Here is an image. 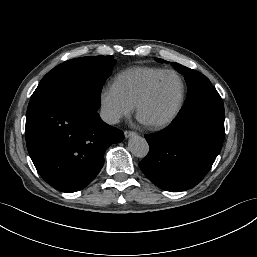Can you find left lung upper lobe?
Returning a JSON list of instances; mask_svg holds the SVG:
<instances>
[{"mask_svg":"<svg viewBox=\"0 0 257 257\" xmlns=\"http://www.w3.org/2000/svg\"><path fill=\"white\" fill-rule=\"evenodd\" d=\"M157 61L168 63L163 59H157ZM171 65L184 75L188 86V98L182 111L193 110L204 103L221 100L220 95L206 76L175 62H172Z\"/></svg>","mask_w":257,"mask_h":257,"instance_id":"5c2ea615","label":"left lung upper lobe"}]
</instances>
